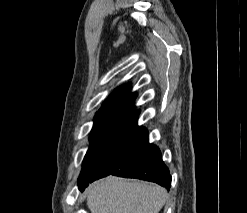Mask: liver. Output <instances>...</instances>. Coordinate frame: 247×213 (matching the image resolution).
Segmentation results:
<instances>
[{"label":"liver","mask_w":247,"mask_h":213,"mask_svg":"<svg viewBox=\"0 0 247 213\" xmlns=\"http://www.w3.org/2000/svg\"><path fill=\"white\" fill-rule=\"evenodd\" d=\"M166 198L161 186L109 176L88 188L86 201L91 213H159Z\"/></svg>","instance_id":"6515ba94"}]
</instances>
